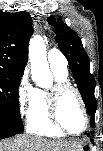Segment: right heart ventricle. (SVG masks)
<instances>
[{
	"instance_id": "right-heart-ventricle-1",
	"label": "right heart ventricle",
	"mask_w": 103,
	"mask_h": 151,
	"mask_svg": "<svg viewBox=\"0 0 103 151\" xmlns=\"http://www.w3.org/2000/svg\"><path fill=\"white\" fill-rule=\"evenodd\" d=\"M51 69L56 83H68V71L56 67H51ZM47 93L48 91L44 89H33L32 100L25 120L27 132L43 137H64L65 133L54 128L49 120Z\"/></svg>"
}]
</instances>
